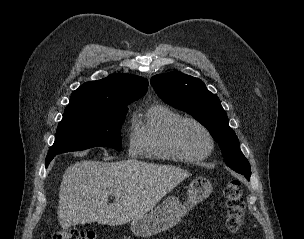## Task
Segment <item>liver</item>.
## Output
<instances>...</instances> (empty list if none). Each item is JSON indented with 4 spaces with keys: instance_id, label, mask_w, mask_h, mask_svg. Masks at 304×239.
<instances>
[{
    "instance_id": "1",
    "label": "liver",
    "mask_w": 304,
    "mask_h": 239,
    "mask_svg": "<svg viewBox=\"0 0 304 239\" xmlns=\"http://www.w3.org/2000/svg\"><path fill=\"white\" fill-rule=\"evenodd\" d=\"M191 174L171 165L135 159L117 162L83 160L68 167L59 191L62 227L97 222L123 225L152 210ZM115 200L108 204V197Z\"/></svg>"
}]
</instances>
